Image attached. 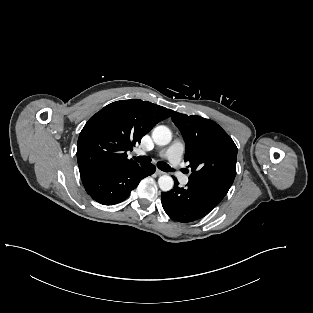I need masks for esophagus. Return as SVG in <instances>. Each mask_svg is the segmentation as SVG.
Masks as SVG:
<instances>
[{
  "instance_id": "esophagus-1",
  "label": "esophagus",
  "mask_w": 313,
  "mask_h": 313,
  "mask_svg": "<svg viewBox=\"0 0 313 313\" xmlns=\"http://www.w3.org/2000/svg\"><path fill=\"white\" fill-rule=\"evenodd\" d=\"M156 174L160 176V175H164L165 172H163V171L157 169V170H156Z\"/></svg>"
}]
</instances>
